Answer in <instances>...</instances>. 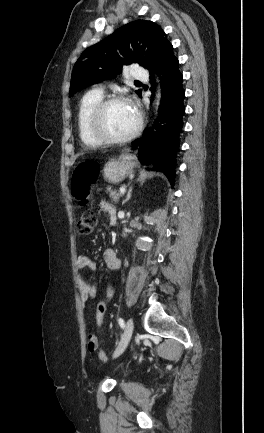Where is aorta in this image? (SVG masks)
I'll return each mask as SVG.
<instances>
[{"label":"aorta","mask_w":264,"mask_h":433,"mask_svg":"<svg viewBox=\"0 0 264 433\" xmlns=\"http://www.w3.org/2000/svg\"><path fill=\"white\" fill-rule=\"evenodd\" d=\"M160 97H161L160 90H158V91H157V94H156V102H155V104H156V109H157L158 106H159Z\"/></svg>","instance_id":"1"}]
</instances>
